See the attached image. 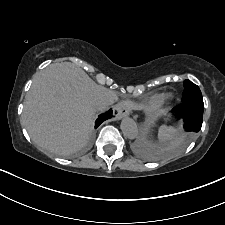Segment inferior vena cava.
Segmentation results:
<instances>
[{
	"instance_id": "1",
	"label": "inferior vena cava",
	"mask_w": 225,
	"mask_h": 225,
	"mask_svg": "<svg viewBox=\"0 0 225 225\" xmlns=\"http://www.w3.org/2000/svg\"><path fill=\"white\" fill-rule=\"evenodd\" d=\"M109 105H110V104H109L108 102H100V103L98 104V109H99V110H104V109L108 108Z\"/></svg>"
}]
</instances>
